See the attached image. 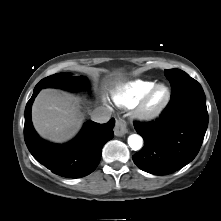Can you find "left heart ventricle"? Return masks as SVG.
Wrapping results in <instances>:
<instances>
[{
  "label": "left heart ventricle",
  "mask_w": 221,
  "mask_h": 221,
  "mask_svg": "<svg viewBox=\"0 0 221 221\" xmlns=\"http://www.w3.org/2000/svg\"><path fill=\"white\" fill-rule=\"evenodd\" d=\"M166 96V91L164 88H159L151 100V106H156L160 104Z\"/></svg>",
  "instance_id": "1"
}]
</instances>
